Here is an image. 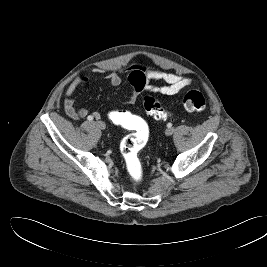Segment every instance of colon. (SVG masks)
<instances>
[{"mask_svg":"<svg viewBox=\"0 0 267 267\" xmlns=\"http://www.w3.org/2000/svg\"><path fill=\"white\" fill-rule=\"evenodd\" d=\"M182 105L189 112H202L206 108V99L201 92L191 90L184 95ZM143 106L145 111L155 119H166L170 115L152 96L144 98ZM107 118L111 123L132 131L122 140L120 149L131 178L138 183L142 180L143 174L139 153L148 141V127L142 119L121 109L109 110Z\"/></svg>","mask_w":267,"mask_h":267,"instance_id":"colon-1","label":"colon"}]
</instances>
